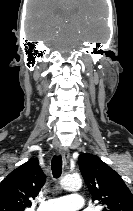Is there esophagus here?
<instances>
[{
	"label": "esophagus",
	"mask_w": 133,
	"mask_h": 211,
	"mask_svg": "<svg viewBox=\"0 0 133 211\" xmlns=\"http://www.w3.org/2000/svg\"><path fill=\"white\" fill-rule=\"evenodd\" d=\"M59 153L62 156L63 162L67 163L68 159H69V151L67 148L61 147L59 150Z\"/></svg>",
	"instance_id": "esophagus-1"
}]
</instances>
